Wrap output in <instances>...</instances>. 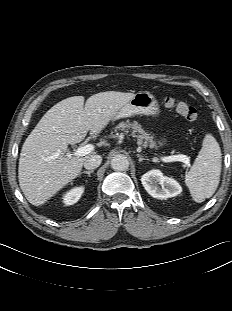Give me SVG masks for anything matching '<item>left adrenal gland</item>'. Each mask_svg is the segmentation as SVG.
<instances>
[{"mask_svg":"<svg viewBox=\"0 0 232 311\" xmlns=\"http://www.w3.org/2000/svg\"><path fill=\"white\" fill-rule=\"evenodd\" d=\"M137 157L139 158V162H142L143 160H148L146 158H144L142 155L137 154Z\"/></svg>","mask_w":232,"mask_h":311,"instance_id":"a2214340","label":"left adrenal gland"}]
</instances>
